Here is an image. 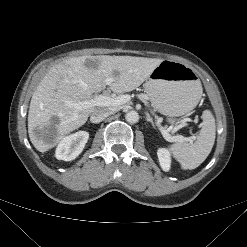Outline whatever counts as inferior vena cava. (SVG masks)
<instances>
[{"label": "inferior vena cava", "mask_w": 247, "mask_h": 247, "mask_svg": "<svg viewBox=\"0 0 247 247\" xmlns=\"http://www.w3.org/2000/svg\"><path fill=\"white\" fill-rule=\"evenodd\" d=\"M115 112L113 108H99L96 109L90 117L91 122L99 123L103 121L106 117L112 115Z\"/></svg>", "instance_id": "1"}]
</instances>
